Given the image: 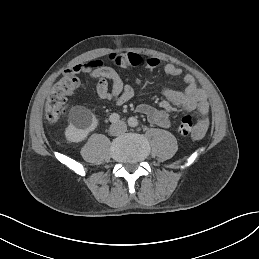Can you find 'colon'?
Here are the masks:
<instances>
[{"label":"colon","instance_id":"colon-1","mask_svg":"<svg viewBox=\"0 0 259 259\" xmlns=\"http://www.w3.org/2000/svg\"><path fill=\"white\" fill-rule=\"evenodd\" d=\"M81 87L80 80L74 74L63 75L51 88L46 104L45 116L50 124H56L69 106V97ZM195 125L190 116L180 119L178 130L182 135H190L195 131Z\"/></svg>","mask_w":259,"mask_h":259}]
</instances>
